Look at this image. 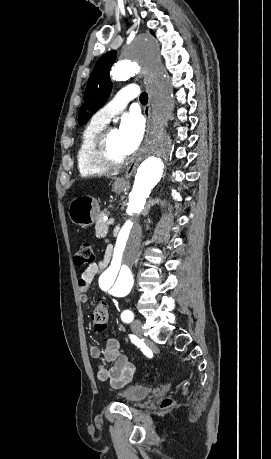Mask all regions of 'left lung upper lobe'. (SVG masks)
Wrapping results in <instances>:
<instances>
[{"label": "left lung upper lobe", "mask_w": 271, "mask_h": 459, "mask_svg": "<svg viewBox=\"0 0 271 459\" xmlns=\"http://www.w3.org/2000/svg\"><path fill=\"white\" fill-rule=\"evenodd\" d=\"M152 34L153 31H151ZM116 59V52L104 54L96 63L87 83L84 94V104L80 107L78 122L84 124L110 96L112 83L109 70Z\"/></svg>", "instance_id": "left-lung-upper-lobe-1"}]
</instances>
